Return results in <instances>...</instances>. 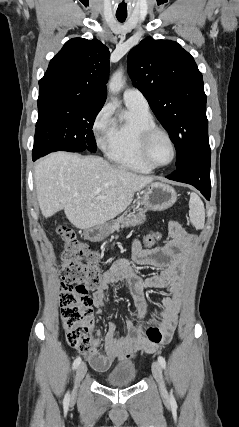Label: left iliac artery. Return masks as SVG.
Masks as SVG:
<instances>
[{
	"label": "left iliac artery",
	"mask_w": 239,
	"mask_h": 427,
	"mask_svg": "<svg viewBox=\"0 0 239 427\" xmlns=\"http://www.w3.org/2000/svg\"><path fill=\"white\" fill-rule=\"evenodd\" d=\"M158 362H159V364L161 365L162 368H164V369L166 368V361H165L164 357L159 356L158 357ZM170 398H171V402L175 403V400H174L172 392H170Z\"/></svg>",
	"instance_id": "44dca946"
}]
</instances>
